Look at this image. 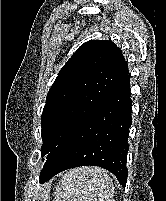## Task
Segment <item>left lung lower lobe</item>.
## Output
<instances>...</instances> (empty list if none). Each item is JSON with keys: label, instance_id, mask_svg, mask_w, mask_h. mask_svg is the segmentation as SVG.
<instances>
[{"label": "left lung lower lobe", "instance_id": "obj_1", "mask_svg": "<svg viewBox=\"0 0 166 201\" xmlns=\"http://www.w3.org/2000/svg\"><path fill=\"white\" fill-rule=\"evenodd\" d=\"M131 105L128 73L103 104L47 157L40 182L44 183L64 170L90 165L110 171L125 187Z\"/></svg>", "mask_w": 166, "mask_h": 201}]
</instances>
